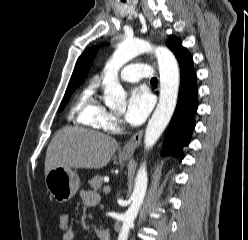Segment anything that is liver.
I'll return each instance as SVG.
<instances>
[{"mask_svg":"<svg viewBox=\"0 0 248 240\" xmlns=\"http://www.w3.org/2000/svg\"><path fill=\"white\" fill-rule=\"evenodd\" d=\"M118 148L111 136L84 128H64L50 142L45 158V175L54 168L100 169Z\"/></svg>","mask_w":248,"mask_h":240,"instance_id":"obj_1","label":"liver"}]
</instances>
